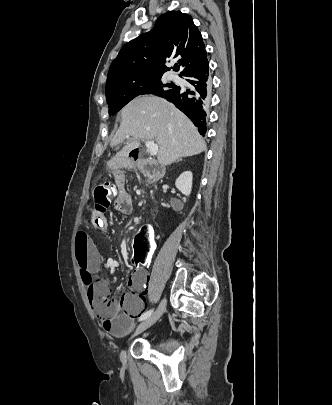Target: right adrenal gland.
I'll list each match as a JSON object with an SVG mask.
<instances>
[{"mask_svg":"<svg viewBox=\"0 0 332 405\" xmlns=\"http://www.w3.org/2000/svg\"><path fill=\"white\" fill-rule=\"evenodd\" d=\"M179 161H182V159L180 158V159H178L176 162H179Z\"/></svg>","mask_w":332,"mask_h":405,"instance_id":"2a0ac1e0","label":"right adrenal gland"}]
</instances>
